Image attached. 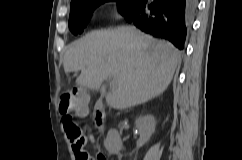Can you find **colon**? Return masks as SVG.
I'll use <instances>...</instances> for the list:
<instances>
[{
    "label": "colon",
    "instance_id": "colon-1",
    "mask_svg": "<svg viewBox=\"0 0 242 160\" xmlns=\"http://www.w3.org/2000/svg\"><path fill=\"white\" fill-rule=\"evenodd\" d=\"M87 108L86 95L77 90H66L61 94L59 110L63 113V126L66 134L78 149L85 143L83 129L74 121L71 113L84 111ZM79 160H95L87 152L79 153ZM96 160H106L102 155H98Z\"/></svg>",
    "mask_w": 242,
    "mask_h": 160
}]
</instances>
